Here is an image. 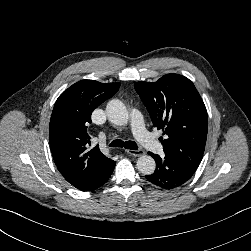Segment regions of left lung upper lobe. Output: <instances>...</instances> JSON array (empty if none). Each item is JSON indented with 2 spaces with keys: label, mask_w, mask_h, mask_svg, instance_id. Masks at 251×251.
I'll use <instances>...</instances> for the list:
<instances>
[{
  "label": "left lung upper lobe",
  "mask_w": 251,
  "mask_h": 251,
  "mask_svg": "<svg viewBox=\"0 0 251 251\" xmlns=\"http://www.w3.org/2000/svg\"><path fill=\"white\" fill-rule=\"evenodd\" d=\"M135 90L146 106L154 127L163 131L165 155L198 167L204 153L207 110L194 84L178 74L157 82H136Z\"/></svg>",
  "instance_id": "5c2ea615"
}]
</instances>
